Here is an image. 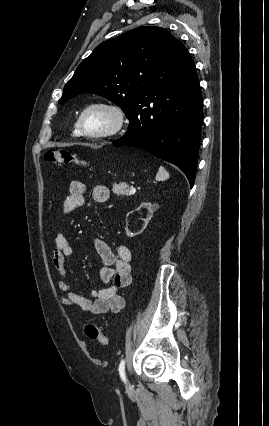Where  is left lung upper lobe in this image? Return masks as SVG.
<instances>
[{"label": "left lung upper lobe", "mask_w": 269, "mask_h": 426, "mask_svg": "<svg viewBox=\"0 0 269 426\" xmlns=\"http://www.w3.org/2000/svg\"><path fill=\"white\" fill-rule=\"evenodd\" d=\"M175 41L165 29L146 26L101 43L66 83L59 103L81 93H94L106 97L127 115L148 90L151 76Z\"/></svg>", "instance_id": "left-lung-upper-lobe-1"}]
</instances>
